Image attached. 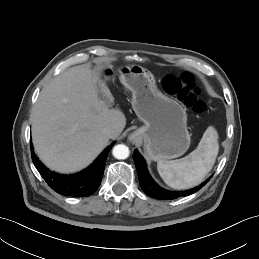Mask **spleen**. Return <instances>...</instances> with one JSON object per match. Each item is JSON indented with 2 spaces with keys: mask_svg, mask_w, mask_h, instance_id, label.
<instances>
[{
  "mask_svg": "<svg viewBox=\"0 0 259 259\" xmlns=\"http://www.w3.org/2000/svg\"><path fill=\"white\" fill-rule=\"evenodd\" d=\"M218 133L209 126L197 148L176 160H159L157 170L164 182L174 189H187L200 184L211 171L218 155Z\"/></svg>",
  "mask_w": 259,
  "mask_h": 259,
  "instance_id": "3e777b00",
  "label": "spleen"
}]
</instances>
